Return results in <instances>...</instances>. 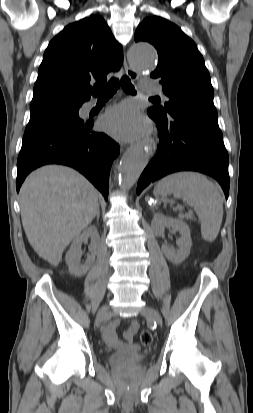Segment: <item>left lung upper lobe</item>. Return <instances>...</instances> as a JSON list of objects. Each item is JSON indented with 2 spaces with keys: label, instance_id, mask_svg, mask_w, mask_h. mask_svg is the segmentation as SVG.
Masks as SVG:
<instances>
[{
  "label": "left lung upper lobe",
  "instance_id": "1",
  "mask_svg": "<svg viewBox=\"0 0 253 413\" xmlns=\"http://www.w3.org/2000/svg\"><path fill=\"white\" fill-rule=\"evenodd\" d=\"M135 41H147L157 49L158 66L150 76L160 81L169 97L164 107L149 108L150 114L163 119L181 112L217 117L204 59L177 25L159 16L147 17L138 26Z\"/></svg>",
  "mask_w": 253,
  "mask_h": 413
}]
</instances>
